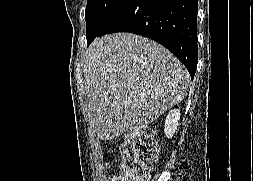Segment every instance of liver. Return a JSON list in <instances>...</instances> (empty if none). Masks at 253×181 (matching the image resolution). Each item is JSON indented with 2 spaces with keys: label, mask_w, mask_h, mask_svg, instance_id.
Masks as SVG:
<instances>
[{
  "label": "liver",
  "mask_w": 253,
  "mask_h": 181,
  "mask_svg": "<svg viewBox=\"0 0 253 181\" xmlns=\"http://www.w3.org/2000/svg\"><path fill=\"white\" fill-rule=\"evenodd\" d=\"M82 63L88 118L105 140L154 122L183 100L190 78L170 51L132 33L96 39Z\"/></svg>",
  "instance_id": "6515ba94"
}]
</instances>
